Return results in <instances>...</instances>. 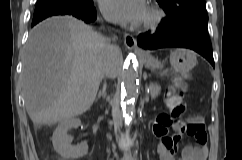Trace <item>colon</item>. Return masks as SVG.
<instances>
[{"mask_svg": "<svg viewBox=\"0 0 242 160\" xmlns=\"http://www.w3.org/2000/svg\"><path fill=\"white\" fill-rule=\"evenodd\" d=\"M184 92V87L180 81H178L173 87L169 88L166 93V103L169 109V113L162 112L158 115L155 125V133H164L167 131V127L171 124L173 118L181 117L185 112V106L181 100V95ZM189 135L197 136L200 141L206 140L205 127L201 124L194 128H190L187 132Z\"/></svg>", "mask_w": 242, "mask_h": 160, "instance_id": "obj_1", "label": "colon"}]
</instances>
